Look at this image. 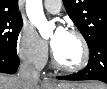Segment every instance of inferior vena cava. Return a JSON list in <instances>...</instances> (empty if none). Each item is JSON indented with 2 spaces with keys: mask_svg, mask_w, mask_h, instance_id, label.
Returning <instances> with one entry per match:
<instances>
[{
  "mask_svg": "<svg viewBox=\"0 0 107 89\" xmlns=\"http://www.w3.org/2000/svg\"><path fill=\"white\" fill-rule=\"evenodd\" d=\"M18 77L24 85H29L31 82L39 81V72L28 62H23L19 66Z\"/></svg>",
  "mask_w": 107,
  "mask_h": 89,
  "instance_id": "inferior-vena-cava-1",
  "label": "inferior vena cava"
}]
</instances>
